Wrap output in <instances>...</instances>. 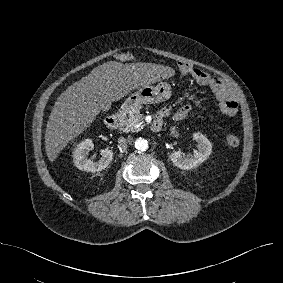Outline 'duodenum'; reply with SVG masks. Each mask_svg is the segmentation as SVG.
<instances>
[{
    "mask_svg": "<svg viewBox=\"0 0 283 283\" xmlns=\"http://www.w3.org/2000/svg\"><path fill=\"white\" fill-rule=\"evenodd\" d=\"M121 120H122V114L116 113V114L109 116L106 119V125L110 129H116L120 125ZM161 128H162V119L159 117H156L155 120L151 124V129L154 132H158L161 130Z\"/></svg>",
    "mask_w": 283,
    "mask_h": 283,
    "instance_id": "obj_1",
    "label": "duodenum"
}]
</instances>
